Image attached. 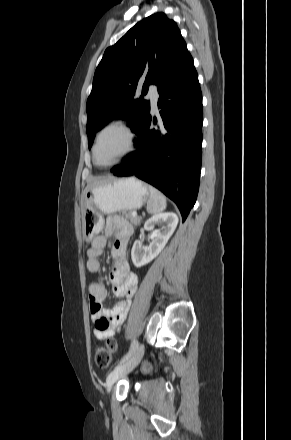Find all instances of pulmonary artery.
<instances>
[{
	"instance_id": "pulmonary-artery-1",
	"label": "pulmonary artery",
	"mask_w": 291,
	"mask_h": 440,
	"mask_svg": "<svg viewBox=\"0 0 291 440\" xmlns=\"http://www.w3.org/2000/svg\"><path fill=\"white\" fill-rule=\"evenodd\" d=\"M147 97L151 100L152 107H153V109H155L156 108V101L158 99V91L155 86L149 87Z\"/></svg>"
}]
</instances>
